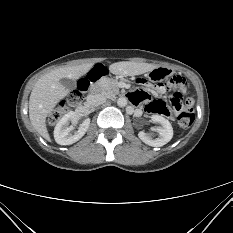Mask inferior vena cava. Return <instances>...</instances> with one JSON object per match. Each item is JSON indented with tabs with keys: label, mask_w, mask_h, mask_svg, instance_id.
<instances>
[{
	"label": "inferior vena cava",
	"mask_w": 233,
	"mask_h": 233,
	"mask_svg": "<svg viewBox=\"0 0 233 233\" xmlns=\"http://www.w3.org/2000/svg\"><path fill=\"white\" fill-rule=\"evenodd\" d=\"M106 102V96L103 94H91L87 96V103L91 106H99Z\"/></svg>",
	"instance_id": "1"
}]
</instances>
